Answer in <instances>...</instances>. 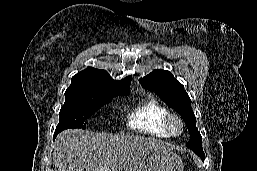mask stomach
<instances>
[{
  "mask_svg": "<svg viewBox=\"0 0 257 171\" xmlns=\"http://www.w3.org/2000/svg\"><path fill=\"white\" fill-rule=\"evenodd\" d=\"M143 171H183V162L171 151H155L146 159Z\"/></svg>",
  "mask_w": 257,
  "mask_h": 171,
  "instance_id": "1",
  "label": "stomach"
}]
</instances>
